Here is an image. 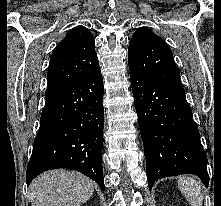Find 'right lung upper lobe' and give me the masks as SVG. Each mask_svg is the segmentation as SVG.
Wrapping results in <instances>:
<instances>
[{
    "mask_svg": "<svg viewBox=\"0 0 221 206\" xmlns=\"http://www.w3.org/2000/svg\"><path fill=\"white\" fill-rule=\"evenodd\" d=\"M98 67L94 37L86 27L76 26L51 55L45 94L78 80Z\"/></svg>",
    "mask_w": 221,
    "mask_h": 206,
    "instance_id": "right-lung-upper-lobe-1",
    "label": "right lung upper lobe"
}]
</instances>
